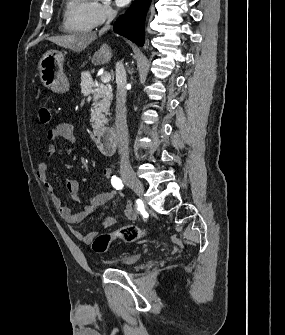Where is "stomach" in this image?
Here are the masks:
<instances>
[{
	"label": "stomach",
	"instance_id": "obj_1",
	"mask_svg": "<svg viewBox=\"0 0 285 335\" xmlns=\"http://www.w3.org/2000/svg\"><path fill=\"white\" fill-rule=\"evenodd\" d=\"M63 62V52L49 50V52L43 54L38 66L40 82L45 88H49L57 94H60V92L63 94L69 88V82L63 74Z\"/></svg>",
	"mask_w": 285,
	"mask_h": 335
}]
</instances>
